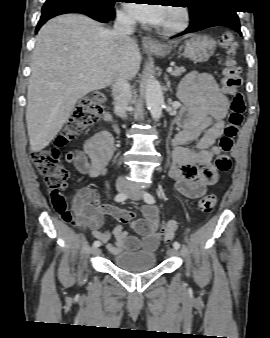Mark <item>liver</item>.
<instances>
[{
  "instance_id": "6515ba94",
  "label": "liver",
  "mask_w": 270,
  "mask_h": 338,
  "mask_svg": "<svg viewBox=\"0 0 270 338\" xmlns=\"http://www.w3.org/2000/svg\"><path fill=\"white\" fill-rule=\"evenodd\" d=\"M140 63L134 39L116 44L111 30L89 17L66 14L49 20L36 37L28 84L31 150L50 144L79 99L110 86L118 75L133 79Z\"/></svg>"
}]
</instances>
